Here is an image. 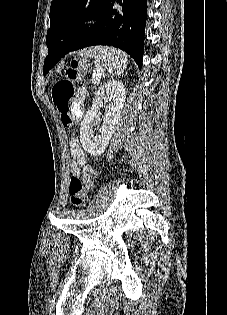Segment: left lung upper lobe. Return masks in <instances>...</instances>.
<instances>
[{
    "label": "left lung upper lobe",
    "mask_w": 227,
    "mask_h": 315,
    "mask_svg": "<svg viewBox=\"0 0 227 315\" xmlns=\"http://www.w3.org/2000/svg\"><path fill=\"white\" fill-rule=\"evenodd\" d=\"M107 0H53L46 42L56 37L67 46L77 43L90 29L86 21L97 19ZM43 73L45 74L44 70Z\"/></svg>",
    "instance_id": "left-lung-upper-lobe-1"
}]
</instances>
